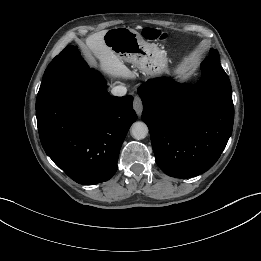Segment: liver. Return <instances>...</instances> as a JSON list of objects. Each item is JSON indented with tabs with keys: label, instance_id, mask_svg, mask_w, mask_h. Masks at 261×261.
Segmentation results:
<instances>
[{
	"label": "liver",
	"instance_id": "obj_1",
	"mask_svg": "<svg viewBox=\"0 0 261 261\" xmlns=\"http://www.w3.org/2000/svg\"><path fill=\"white\" fill-rule=\"evenodd\" d=\"M106 30L86 38V47L99 60L100 68L112 77L132 79L134 74L104 42Z\"/></svg>",
	"mask_w": 261,
	"mask_h": 261
}]
</instances>
